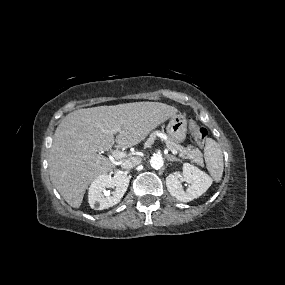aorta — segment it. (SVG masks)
<instances>
[{"label":"aorta","instance_id":"obj_1","mask_svg":"<svg viewBox=\"0 0 285 285\" xmlns=\"http://www.w3.org/2000/svg\"><path fill=\"white\" fill-rule=\"evenodd\" d=\"M150 165L154 169H160L164 165L163 157L159 154H154L150 159Z\"/></svg>","mask_w":285,"mask_h":285}]
</instances>
